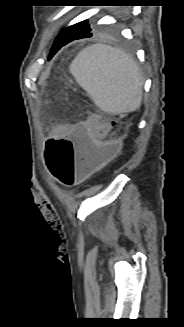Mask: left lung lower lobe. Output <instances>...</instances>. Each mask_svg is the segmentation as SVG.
<instances>
[{"mask_svg": "<svg viewBox=\"0 0 184 327\" xmlns=\"http://www.w3.org/2000/svg\"><path fill=\"white\" fill-rule=\"evenodd\" d=\"M92 34H88L86 36H82L78 34V31L74 30L71 26L64 29L60 34L57 36V38L54 41V44L51 48L50 54H49V60L52 58V56L64 45L68 44L69 42H72L77 39L82 38H89Z\"/></svg>", "mask_w": 184, "mask_h": 327, "instance_id": "1", "label": "left lung lower lobe"}]
</instances>
